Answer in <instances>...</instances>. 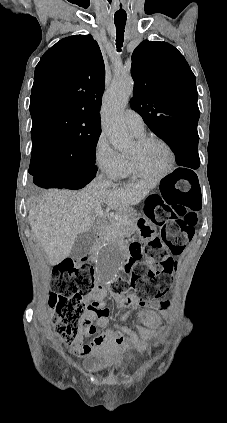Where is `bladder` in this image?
Listing matches in <instances>:
<instances>
[{
    "instance_id": "31cf9c89",
    "label": "bladder",
    "mask_w": 227,
    "mask_h": 423,
    "mask_svg": "<svg viewBox=\"0 0 227 423\" xmlns=\"http://www.w3.org/2000/svg\"><path fill=\"white\" fill-rule=\"evenodd\" d=\"M133 357L130 355H123L117 361H112L107 356H95L92 358L93 371H128L132 368Z\"/></svg>"
}]
</instances>
